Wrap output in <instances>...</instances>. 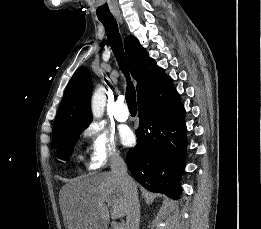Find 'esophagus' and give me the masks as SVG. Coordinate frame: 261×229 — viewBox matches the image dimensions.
Returning a JSON list of instances; mask_svg holds the SVG:
<instances>
[{"mask_svg":"<svg viewBox=\"0 0 261 229\" xmlns=\"http://www.w3.org/2000/svg\"><path fill=\"white\" fill-rule=\"evenodd\" d=\"M117 19L120 23H123V20H122V16L121 15H117Z\"/></svg>","mask_w":261,"mask_h":229,"instance_id":"esophagus-1","label":"esophagus"}]
</instances>
